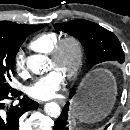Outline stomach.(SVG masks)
<instances>
[{
  "label": "stomach",
  "instance_id": "0dacf381",
  "mask_svg": "<svg viewBox=\"0 0 130 130\" xmlns=\"http://www.w3.org/2000/svg\"><path fill=\"white\" fill-rule=\"evenodd\" d=\"M115 95L116 85L112 75L107 70L98 69L82 84L72 114L83 122L101 120L110 112Z\"/></svg>",
  "mask_w": 130,
  "mask_h": 130
}]
</instances>
